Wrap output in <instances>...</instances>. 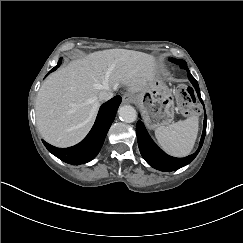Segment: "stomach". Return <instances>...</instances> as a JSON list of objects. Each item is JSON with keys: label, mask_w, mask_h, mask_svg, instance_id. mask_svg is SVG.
<instances>
[{"label": "stomach", "mask_w": 243, "mask_h": 243, "mask_svg": "<svg viewBox=\"0 0 243 243\" xmlns=\"http://www.w3.org/2000/svg\"><path fill=\"white\" fill-rule=\"evenodd\" d=\"M148 128L168 126L174 118V97L159 77H154L144 90L134 94Z\"/></svg>", "instance_id": "obj_1"}]
</instances>
